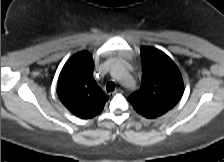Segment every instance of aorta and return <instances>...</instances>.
<instances>
[{"instance_id":"aorta-1","label":"aorta","mask_w":224,"mask_h":162,"mask_svg":"<svg viewBox=\"0 0 224 162\" xmlns=\"http://www.w3.org/2000/svg\"><path fill=\"white\" fill-rule=\"evenodd\" d=\"M111 73L123 85L129 88L135 87V81L133 77L128 73V71L126 70V68L123 66L121 62L114 63L111 69Z\"/></svg>"}]
</instances>
